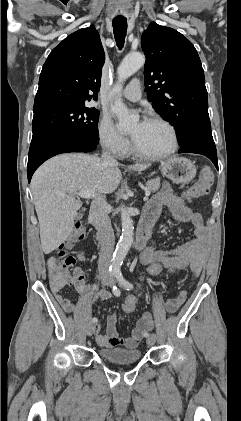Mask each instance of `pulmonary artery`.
Segmentation results:
<instances>
[{"mask_svg": "<svg viewBox=\"0 0 241 421\" xmlns=\"http://www.w3.org/2000/svg\"><path fill=\"white\" fill-rule=\"evenodd\" d=\"M121 95L130 101H138L141 98V87L139 80H132L125 87Z\"/></svg>", "mask_w": 241, "mask_h": 421, "instance_id": "pulmonary-artery-1", "label": "pulmonary artery"}]
</instances>
